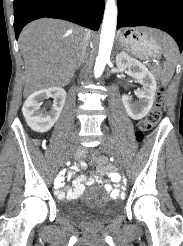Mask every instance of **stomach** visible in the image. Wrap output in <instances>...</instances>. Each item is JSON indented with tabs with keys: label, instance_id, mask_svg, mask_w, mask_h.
<instances>
[{
	"label": "stomach",
	"instance_id": "1",
	"mask_svg": "<svg viewBox=\"0 0 183 246\" xmlns=\"http://www.w3.org/2000/svg\"><path fill=\"white\" fill-rule=\"evenodd\" d=\"M147 28H126L119 33L122 47L140 58H156L161 51L160 43Z\"/></svg>",
	"mask_w": 183,
	"mask_h": 246
}]
</instances>
